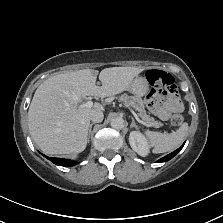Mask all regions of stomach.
<instances>
[{
    "label": "stomach",
    "instance_id": "1",
    "mask_svg": "<svg viewBox=\"0 0 223 223\" xmlns=\"http://www.w3.org/2000/svg\"><path fill=\"white\" fill-rule=\"evenodd\" d=\"M155 69H148L144 71L141 76H137L129 85L128 90L133 94H139L143 96L148 90V72L154 71Z\"/></svg>",
    "mask_w": 223,
    "mask_h": 223
}]
</instances>
